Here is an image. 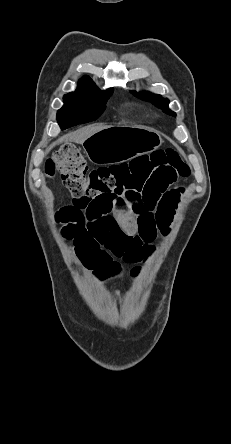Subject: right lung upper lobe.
Here are the masks:
<instances>
[{"instance_id": "obj_1", "label": "right lung upper lobe", "mask_w": 231, "mask_h": 444, "mask_svg": "<svg viewBox=\"0 0 231 444\" xmlns=\"http://www.w3.org/2000/svg\"><path fill=\"white\" fill-rule=\"evenodd\" d=\"M72 93L91 94L101 93V91L95 86L93 81L88 76H85L79 81L77 90Z\"/></svg>"}]
</instances>
